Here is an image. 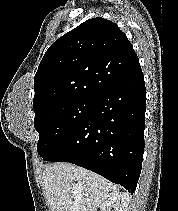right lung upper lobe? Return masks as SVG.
<instances>
[{
	"mask_svg": "<svg viewBox=\"0 0 178 211\" xmlns=\"http://www.w3.org/2000/svg\"><path fill=\"white\" fill-rule=\"evenodd\" d=\"M140 70L119 27L104 18L89 19L55 41L43 56L34 80V111L68 99H96Z\"/></svg>",
	"mask_w": 178,
	"mask_h": 211,
	"instance_id": "cb5924a9",
	"label": "right lung upper lobe"
}]
</instances>
